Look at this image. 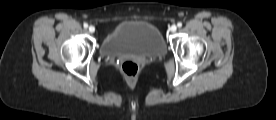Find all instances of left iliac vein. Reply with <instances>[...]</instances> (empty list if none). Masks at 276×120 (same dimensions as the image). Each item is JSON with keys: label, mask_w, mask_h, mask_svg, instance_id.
I'll return each mask as SVG.
<instances>
[{"label": "left iliac vein", "mask_w": 276, "mask_h": 120, "mask_svg": "<svg viewBox=\"0 0 276 120\" xmlns=\"http://www.w3.org/2000/svg\"><path fill=\"white\" fill-rule=\"evenodd\" d=\"M177 30V26L176 25H172L171 27H170V31L171 32H175Z\"/></svg>", "instance_id": "1"}]
</instances>
